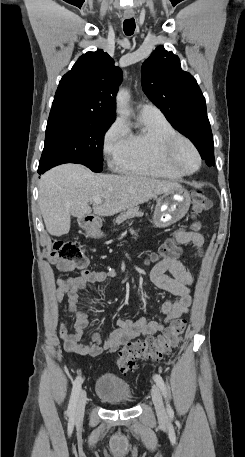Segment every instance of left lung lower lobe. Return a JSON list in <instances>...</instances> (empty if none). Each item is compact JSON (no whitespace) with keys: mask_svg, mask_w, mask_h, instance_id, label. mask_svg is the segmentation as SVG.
I'll return each mask as SVG.
<instances>
[{"mask_svg":"<svg viewBox=\"0 0 245 457\" xmlns=\"http://www.w3.org/2000/svg\"><path fill=\"white\" fill-rule=\"evenodd\" d=\"M196 147L208 166H214V143L212 135L204 138Z\"/></svg>","mask_w":245,"mask_h":457,"instance_id":"1","label":"left lung lower lobe"}]
</instances>
